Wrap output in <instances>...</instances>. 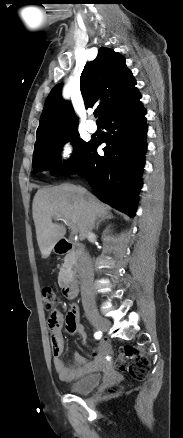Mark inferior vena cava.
<instances>
[{"label":"inferior vena cava","mask_w":183,"mask_h":438,"mask_svg":"<svg viewBox=\"0 0 183 438\" xmlns=\"http://www.w3.org/2000/svg\"><path fill=\"white\" fill-rule=\"evenodd\" d=\"M93 236L92 227L89 228L87 237ZM79 267L82 276V303L85 310L95 307V298L92 291L94 279L93 267L88 252H83L80 255Z\"/></svg>","instance_id":"602c4592"}]
</instances>
